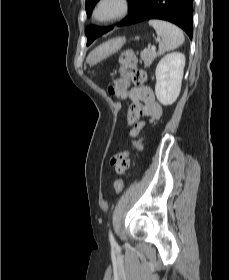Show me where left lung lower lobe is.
Returning <instances> with one entry per match:
<instances>
[{"label": "left lung lower lobe", "instance_id": "0a47b994", "mask_svg": "<svg viewBox=\"0 0 229 280\" xmlns=\"http://www.w3.org/2000/svg\"><path fill=\"white\" fill-rule=\"evenodd\" d=\"M193 0H136L131 13L118 26H127L149 19L172 22L192 39Z\"/></svg>", "mask_w": 229, "mask_h": 280}]
</instances>
